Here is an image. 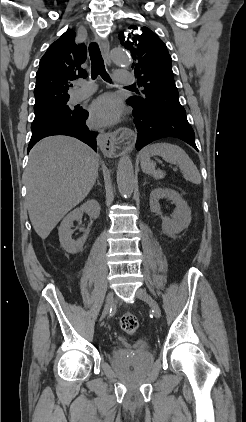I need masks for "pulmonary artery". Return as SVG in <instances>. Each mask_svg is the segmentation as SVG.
Wrapping results in <instances>:
<instances>
[{
  "label": "pulmonary artery",
  "mask_w": 246,
  "mask_h": 422,
  "mask_svg": "<svg viewBox=\"0 0 246 422\" xmlns=\"http://www.w3.org/2000/svg\"><path fill=\"white\" fill-rule=\"evenodd\" d=\"M115 79L118 83L123 85H129L134 83V75L127 70H117L115 73ZM95 91V86L90 82H80L78 89H76L71 95V102L77 103L87 97H89Z\"/></svg>",
  "instance_id": "pulmonary-artery-1"
}]
</instances>
